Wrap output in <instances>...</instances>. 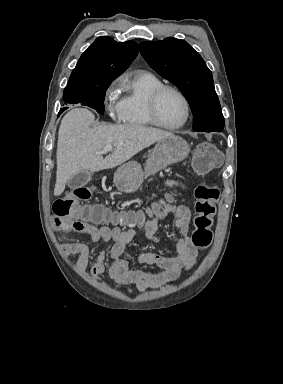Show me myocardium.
<instances>
[{"instance_id":"myocardium-1","label":"myocardium","mask_w":283,"mask_h":384,"mask_svg":"<svg viewBox=\"0 0 283 384\" xmlns=\"http://www.w3.org/2000/svg\"><path fill=\"white\" fill-rule=\"evenodd\" d=\"M168 91L175 93L182 100L185 107L184 120L180 124L175 126H166L162 124L157 116L158 101L161 98V96ZM145 111L149 121L153 126L163 130H168V131H176L183 128L188 123L190 119V113H191L190 104L187 97L179 89L169 85H162L152 92V94L148 97L146 101Z\"/></svg>"}]
</instances>
